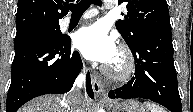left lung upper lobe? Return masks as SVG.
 Here are the masks:
<instances>
[{"mask_svg":"<svg viewBox=\"0 0 193 112\" xmlns=\"http://www.w3.org/2000/svg\"><path fill=\"white\" fill-rule=\"evenodd\" d=\"M126 3L128 15L116 22V28L129 48L135 47L146 35L171 29L166 0H118Z\"/></svg>","mask_w":193,"mask_h":112,"instance_id":"1","label":"left lung upper lobe"}]
</instances>
